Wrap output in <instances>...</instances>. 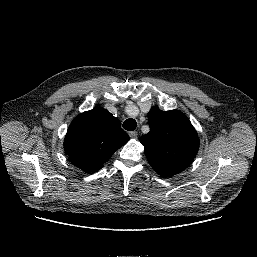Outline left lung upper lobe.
<instances>
[{
    "label": "left lung upper lobe",
    "mask_w": 257,
    "mask_h": 257,
    "mask_svg": "<svg viewBox=\"0 0 257 257\" xmlns=\"http://www.w3.org/2000/svg\"><path fill=\"white\" fill-rule=\"evenodd\" d=\"M150 131L139 140L153 169L162 177L185 170L199 149L197 132L179 110L162 111L152 107L148 113Z\"/></svg>",
    "instance_id": "5c2ea615"
}]
</instances>
